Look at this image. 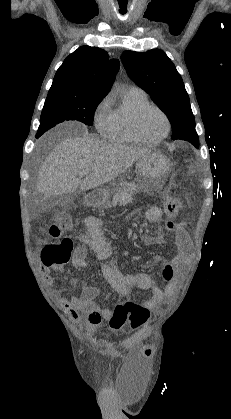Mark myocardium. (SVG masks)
I'll return each instance as SVG.
<instances>
[{"label": "myocardium", "mask_w": 231, "mask_h": 419, "mask_svg": "<svg viewBox=\"0 0 231 419\" xmlns=\"http://www.w3.org/2000/svg\"><path fill=\"white\" fill-rule=\"evenodd\" d=\"M149 109L157 110L163 116V118L165 119V122H166V131L164 132V134L161 137H159L157 139H153V140H150V139H147L146 137H144L141 130H140L141 117ZM131 128H132L133 135L135 136V138L140 143L145 144V145H156V144H159L160 142H162L163 140H165L168 137V135L171 131V121H170V118L167 115V113L161 107H159L155 104L148 103V104H145L142 107L138 108L134 112V114L132 116V119H131Z\"/></svg>", "instance_id": "f54148a6"}]
</instances>
